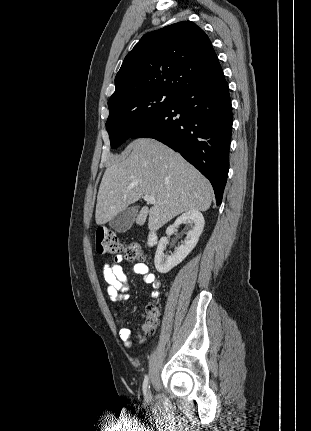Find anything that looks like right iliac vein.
<instances>
[{"mask_svg": "<svg viewBox=\"0 0 311 431\" xmlns=\"http://www.w3.org/2000/svg\"><path fill=\"white\" fill-rule=\"evenodd\" d=\"M145 398H146V399L150 398V393H149V392L146 394V397H145Z\"/></svg>", "mask_w": 311, "mask_h": 431, "instance_id": "right-iliac-vein-1", "label": "right iliac vein"}]
</instances>
